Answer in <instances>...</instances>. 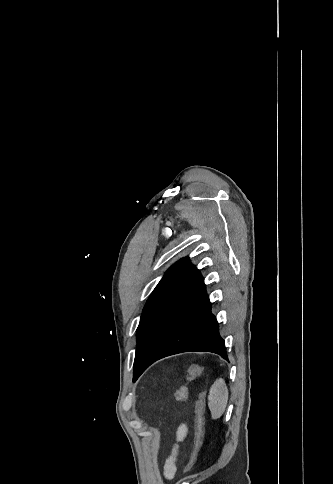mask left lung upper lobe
I'll use <instances>...</instances> for the list:
<instances>
[{"mask_svg": "<svg viewBox=\"0 0 333 484\" xmlns=\"http://www.w3.org/2000/svg\"><path fill=\"white\" fill-rule=\"evenodd\" d=\"M189 257L182 258L179 261H177L174 265H172L168 271L165 273L161 281L158 283L154 291L152 292L151 296L148 298L144 309L143 313L141 315L140 323L137 328V337L139 335L140 329L148 316L150 310L152 309L153 305L155 302L158 300L160 295L163 293V291L167 288V286L172 282L174 277L179 273V271L183 268L185 264H188ZM139 370L134 368V376L133 379L138 375Z\"/></svg>", "mask_w": 333, "mask_h": 484, "instance_id": "obj_1", "label": "left lung upper lobe"}]
</instances>
